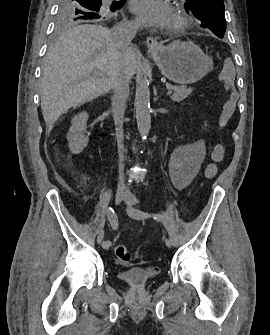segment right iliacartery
Segmentation results:
<instances>
[{"label":"right iliac artery","instance_id":"1","mask_svg":"<svg viewBox=\"0 0 270 335\" xmlns=\"http://www.w3.org/2000/svg\"><path fill=\"white\" fill-rule=\"evenodd\" d=\"M106 213H107V218L109 220L111 227L113 228V230H117L118 229V218L113 208L109 207ZM110 246H111V242L109 240H106L102 243V247L104 249H108Z\"/></svg>","mask_w":270,"mask_h":335}]
</instances>
